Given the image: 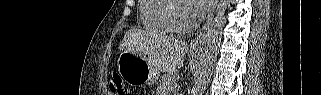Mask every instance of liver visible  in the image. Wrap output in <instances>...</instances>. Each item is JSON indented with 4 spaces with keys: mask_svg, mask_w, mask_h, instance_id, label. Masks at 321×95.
I'll list each match as a JSON object with an SVG mask.
<instances>
[{
    "mask_svg": "<svg viewBox=\"0 0 321 95\" xmlns=\"http://www.w3.org/2000/svg\"><path fill=\"white\" fill-rule=\"evenodd\" d=\"M150 34L139 29L128 30L120 43L119 49L134 54H143L144 60L162 72H176L183 67L187 44L176 38L161 36L149 52L146 50Z\"/></svg>",
    "mask_w": 321,
    "mask_h": 95,
    "instance_id": "6515ba94",
    "label": "liver"
}]
</instances>
